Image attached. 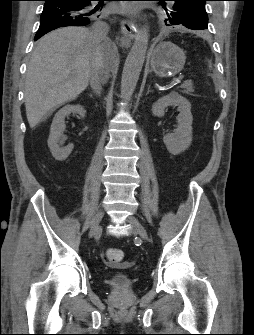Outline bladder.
<instances>
[{
	"label": "bladder",
	"mask_w": 254,
	"mask_h": 335,
	"mask_svg": "<svg viewBox=\"0 0 254 335\" xmlns=\"http://www.w3.org/2000/svg\"><path fill=\"white\" fill-rule=\"evenodd\" d=\"M132 275L126 271H116L111 274L108 284L115 290H128L132 284Z\"/></svg>",
	"instance_id": "1"
}]
</instances>
